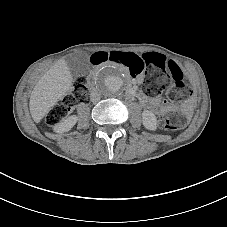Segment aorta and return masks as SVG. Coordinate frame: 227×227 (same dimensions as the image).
<instances>
[{"instance_id": "aorta-1", "label": "aorta", "mask_w": 227, "mask_h": 227, "mask_svg": "<svg viewBox=\"0 0 227 227\" xmlns=\"http://www.w3.org/2000/svg\"><path fill=\"white\" fill-rule=\"evenodd\" d=\"M123 74L115 67L103 68L96 77V89L104 96H114L123 91Z\"/></svg>"}]
</instances>
